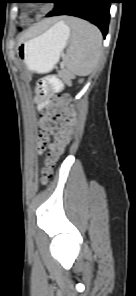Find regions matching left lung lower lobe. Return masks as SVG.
<instances>
[{
    "mask_svg": "<svg viewBox=\"0 0 136 296\" xmlns=\"http://www.w3.org/2000/svg\"><path fill=\"white\" fill-rule=\"evenodd\" d=\"M112 0H53L55 7L46 17L70 15L95 24L104 38L108 31L110 3Z\"/></svg>",
    "mask_w": 136,
    "mask_h": 296,
    "instance_id": "1",
    "label": "left lung lower lobe"
}]
</instances>
